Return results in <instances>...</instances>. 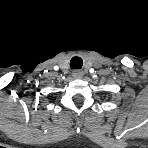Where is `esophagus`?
<instances>
[{"mask_svg":"<svg viewBox=\"0 0 148 148\" xmlns=\"http://www.w3.org/2000/svg\"><path fill=\"white\" fill-rule=\"evenodd\" d=\"M72 76L74 77V78H82L83 77V73H82V71H80V70H74L73 72H72Z\"/></svg>","mask_w":148,"mask_h":148,"instance_id":"34e87169","label":"esophagus"}]
</instances>
